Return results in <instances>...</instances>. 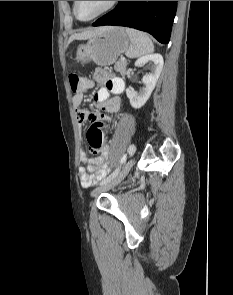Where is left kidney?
Instances as JSON below:
<instances>
[{
    "instance_id": "1",
    "label": "left kidney",
    "mask_w": 233,
    "mask_h": 295,
    "mask_svg": "<svg viewBox=\"0 0 233 295\" xmlns=\"http://www.w3.org/2000/svg\"><path fill=\"white\" fill-rule=\"evenodd\" d=\"M147 62L152 63V72L144 75L142 78L145 87L139 93L130 89L126 90L130 104L135 109L141 108L147 102L163 68V57L161 54L142 56L135 62V66L141 67Z\"/></svg>"
}]
</instances>
